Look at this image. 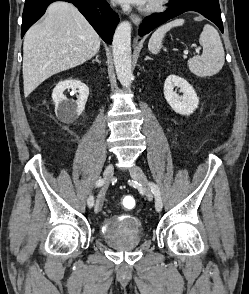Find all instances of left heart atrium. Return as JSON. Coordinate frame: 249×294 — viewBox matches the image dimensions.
Returning <instances> with one entry per match:
<instances>
[{
	"label": "left heart atrium",
	"mask_w": 249,
	"mask_h": 294,
	"mask_svg": "<svg viewBox=\"0 0 249 294\" xmlns=\"http://www.w3.org/2000/svg\"><path fill=\"white\" fill-rule=\"evenodd\" d=\"M122 4L144 5L148 0H117Z\"/></svg>",
	"instance_id": "39dd6f15"
}]
</instances>
